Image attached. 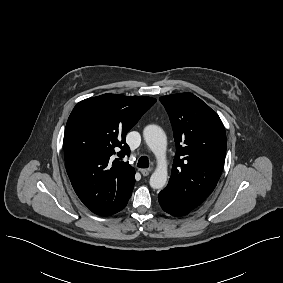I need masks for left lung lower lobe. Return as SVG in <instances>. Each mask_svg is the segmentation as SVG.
Segmentation results:
<instances>
[{
  "mask_svg": "<svg viewBox=\"0 0 283 283\" xmlns=\"http://www.w3.org/2000/svg\"><path fill=\"white\" fill-rule=\"evenodd\" d=\"M158 199L162 209L173 216H183L193 210L182 203L178 196L168 187L159 193Z\"/></svg>",
  "mask_w": 283,
  "mask_h": 283,
  "instance_id": "left-lung-lower-lobe-1",
  "label": "left lung lower lobe"
}]
</instances>
